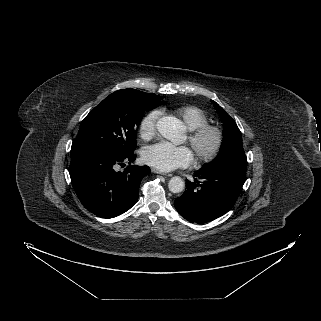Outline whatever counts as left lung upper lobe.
<instances>
[{
	"instance_id": "left-lung-upper-lobe-1",
	"label": "left lung upper lobe",
	"mask_w": 321,
	"mask_h": 321,
	"mask_svg": "<svg viewBox=\"0 0 321 321\" xmlns=\"http://www.w3.org/2000/svg\"><path fill=\"white\" fill-rule=\"evenodd\" d=\"M212 103L224 126L223 141L219 154L214 162L217 163L232 159H246L241 132L236 122L215 101H212Z\"/></svg>"
}]
</instances>
